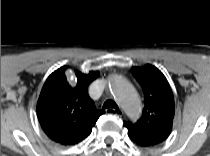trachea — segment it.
<instances>
[{"mask_svg": "<svg viewBox=\"0 0 210 156\" xmlns=\"http://www.w3.org/2000/svg\"><path fill=\"white\" fill-rule=\"evenodd\" d=\"M106 108L118 109V105H117L113 100H107V101L103 104V109H106Z\"/></svg>", "mask_w": 210, "mask_h": 156, "instance_id": "trachea-1", "label": "trachea"}]
</instances>
